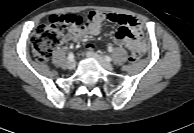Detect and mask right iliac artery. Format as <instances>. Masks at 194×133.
I'll list each match as a JSON object with an SVG mask.
<instances>
[{
	"mask_svg": "<svg viewBox=\"0 0 194 133\" xmlns=\"http://www.w3.org/2000/svg\"><path fill=\"white\" fill-rule=\"evenodd\" d=\"M68 59H69V61H73L74 60V54L72 52H70L68 54Z\"/></svg>",
	"mask_w": 194,
	"mask_h": 133,
	"instance_id": "obj_1",
	"label": "right iliac artery"
}]
</instances>
